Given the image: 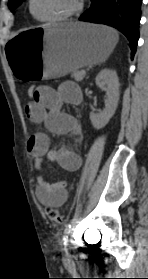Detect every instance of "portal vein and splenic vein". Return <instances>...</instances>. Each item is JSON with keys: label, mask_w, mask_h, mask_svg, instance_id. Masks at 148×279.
<instances>
[{"label": "portal vein and splenic vein", "mask_w": 148, "mask_h": 279, "mask_svg": "<svg viewBox=\"0 0 148 279\" xmlns=\"http://www.w3.org/2000/svg\"><path fill=\"white\" fill-rule=\"evenodd\" d=\"M86 75V72L85 71H82V76H85Z\"/></svg>", "instance_id": "18ae733b"}]
</instances>
